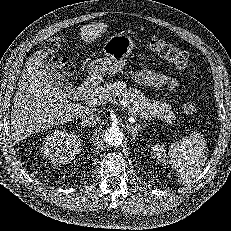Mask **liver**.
Returning <instances> with one entry per match:
<instances>
[{"label": "liver", "mask_w": 231, "mask_h": 231, "mask_svg": "<svg viewBox=\"0 0 231 231\" xmlns=\"http://www.w3.org/2000/svg\"><path fill=\"white\" fill-rule=\"evenodd\" d=\"M101 22L81 28L80 38L90 42L106 31ZM48 53L36 51L26 62L13 98L11 136L15 142L26 139L40 130L79 119L90 112L89 108L71 102L64 93L49 81L45 69Z\"/></svg>", "instance_id": "obj_1"}]
</instances>
